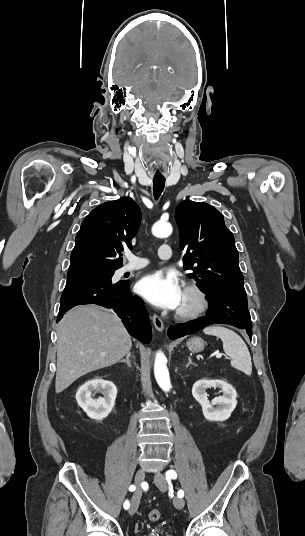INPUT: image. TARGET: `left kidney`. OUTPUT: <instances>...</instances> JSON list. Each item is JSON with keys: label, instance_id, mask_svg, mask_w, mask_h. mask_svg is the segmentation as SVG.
<instances>
[{"label": "left kidney", "instance_id": "5707ae66", "mask_svg": "<svg viewBox=\"0 0 305 536\" xmlns=\"http://www.w3.org/2000/svg\"><path fill=\"white\" fill-rule=\"evenodd\" d=\"M207 388H221L223 396L209 402L208 394H206ZM192 396L201 404L206 420H211V422L228 420L237 406L236 390L225 380H198L192 388Z\"/></svg>", "mask_w": 305, "mask_h": 536}]
</instances>
